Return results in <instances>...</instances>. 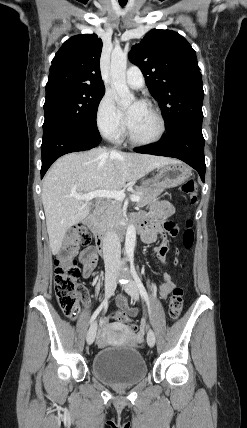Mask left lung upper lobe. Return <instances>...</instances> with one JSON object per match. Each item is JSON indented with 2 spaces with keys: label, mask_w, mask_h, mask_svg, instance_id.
I'll return each mask as SVG.
<instances>
[{
  "label": "left lung upper lobe",
  "mask_w": 247,
  "mask_h": 428,
  "mask_svg": "<svg viewBox=\"0 0 247 428\" xmlns=\"http://www.w3.org/2000/svg\"><path fill=\"white\" fill-rule=\"evenodd\" d=\"M129 59L139 66L159 103L167 130L187 121H202L204 97L196 52L177 32L152 30L133 46Z\"/></svg>",
  "instance_id": "left-lung-upper-lobe-1"
}]
</instances>
